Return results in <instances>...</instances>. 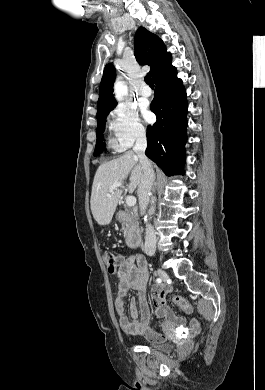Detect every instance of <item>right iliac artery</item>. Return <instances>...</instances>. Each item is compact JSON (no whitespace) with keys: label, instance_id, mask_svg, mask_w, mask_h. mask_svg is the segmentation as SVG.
<instances>
[{"label":"right iliac artery","instance_id":"right-iliac-artery-1","mask_svg":"<svg viewBox=\"0 0 265 390\" xmlns=\"http://www.w3.org/2000/svg\"><path fill=\"white\" fill-rule=\"evenodd\" d=\"M161 281H162V280H161L160 278H157V279H156V282H157V283H161Z\"/></svg>","mask_w":265,"mask_h":390}]
</instances>
